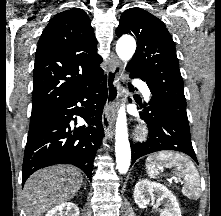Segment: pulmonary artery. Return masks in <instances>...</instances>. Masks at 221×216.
Returning a JSON list of instances; mask_svg holds the SVG:
<instances>
[{"label": "pulmonary artery", "instance_id": "obj_1", "mask_svg": "<svg viewBox=\"0 0 221 216\" xmlns=\"http://www.w3.org/2000/svg\"><path fill=\"white\" fill-rule=\"evenodd\" d=\"M134 84H135L136 87L142 89L143 95H144L145 99L148 101L150 99V96H151V92L148 89V87L140 80L134 81Z\"/></svg>", "mask_w": 221, "mask_h": 216}]
</instances>
